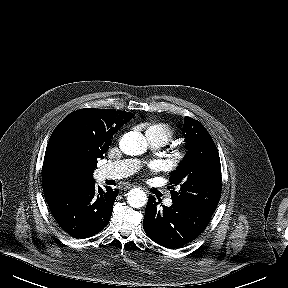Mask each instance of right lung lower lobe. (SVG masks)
Here are the masks:
<instances>
[{
	"label": "right lung lower lobe",
	"mask_w": 288,
	"mask_h": 288,
	"mask_svg": "<svg viewBox=\"0 0 288 288\" xmlns=\"http://www.w3.org/2000/svg\"><path fill=\"white\" fill-rule=\"evenodd\" d=\"M118 190L85 185L45 195L49 209L60 225L75 238H88L109 223Z\"/></svg>",
	"instance_id": "obj_1"
}]
</instances>
